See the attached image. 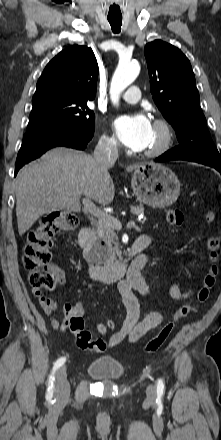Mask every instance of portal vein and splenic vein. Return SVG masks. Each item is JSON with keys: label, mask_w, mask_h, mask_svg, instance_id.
Segmentation results:
<instances>
[{"label": "portal vein and splenic vein", "mask_w": 221, "mask_h": 440, "mask_svg": "<svg viewBox=\"0 0 221 440\" xmlns=\"http://www.w3.org/2000/svg\"><path fill=\"white\" fill-rule=\"evenodd\" d=\"M83 205L85 210L90 213L91 215L97 217L100 221H104L107 224L111 225L116 230H121L122 224L120 221H118L113 216L109 215L108 213H105L104 211L100 210L96 207V205L88 198L83 199ZM135 221H129L127 223V227H135Z\"/></svg>", "instance_id": "1"}]
</instances>
